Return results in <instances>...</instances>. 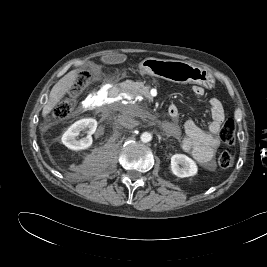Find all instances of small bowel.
Here are the masks:
<instances>
[{"instance_id":"obj_1","label":"small bowel","mask_w":267,"mask_h":267,"mask_svg":"<svg viewBox=\"0 0 267 267\" xmlns=\"http://www.w3.org/2000/svg\"><path fill=\"white\" fill-rule=\"evenodd\" d=\"M192 93L196 97H202L205 91L200 86H194L192 88ZM171 106L177 110L175 105ZM209 108L211 121L208 126V132L200 129L192 120L186 121L184 125L185 137L182 140V148L185 152L190 153L203 167L212 170L215 167L214 156L220 146V140L217 134L225 119V113L222 103L216 98L210 99Z\"/></svg>"}]
</instances>
